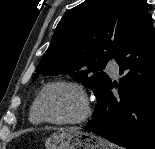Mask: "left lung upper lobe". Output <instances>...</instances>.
Masks as SVG:
<instances>
[{
    "mask_svg": "<svg viewBox=\"0 0 155 149\" xmlns=\"http://www.w3.org/2000/svg\"><path fill=\"white\" fill-rule=\"evenodd\" d=\"M148 13L147 0H86L58 23L38 74H68L95 95L111 80L102 70L135 35Z\"/></svg>",
    "mask_w": 155,
    "mask_h": 149,
    "instance_id": "1",
    "label": "left lung upper lobe"
}]
</instances>
